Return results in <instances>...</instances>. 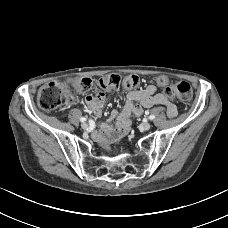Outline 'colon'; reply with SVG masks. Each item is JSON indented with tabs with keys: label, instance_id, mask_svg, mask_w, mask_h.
I'll list each match as a JSON object with an SVG mask.
<instances>
[{
	"label": "colon",
	"instance_id": "1",
	"mask_svg": "<svg viewBox=\"0 0 228 228\" xmlns=\"http://www.w3.org/2000/svg\"><path fill=\"white\" fill-rule=\"evenodd\" d=\"M138 83L139 79L135 75L120 76L118 74H109L97 79L79 77L69 83L50 82L39 89L37 102L40 108L51 111L74 100L70 88L80 93L97 88L105 91H113L120 87L133 90ZM156 83L160 87H164L165 94L172 99L188 102L191 98L192 89L188 82L182 81L171 85L167 76H159Z\"/></svg>",
	"mask_w": 228,
	"mask_h": 228
}]
</instances>
